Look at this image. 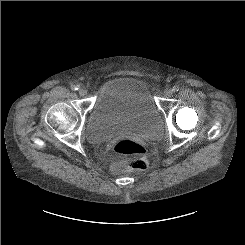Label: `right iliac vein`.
I'll list each match as a JSON object with an SVG mask.
<instances>
[{
  "label": "right iliac vein",
  "instance_id": "1",
  "mask_svg": "<svg viewBox=\"0 0 245 245\" xmlns=\"http://www.w3.org/2000/svg\"><path fill=\"white\" fill-rule=\"evenodd\" d=\"M78 93L81 97H83L87 94V90H86V88H80Z\"/></svg>",
  "mask_w": 245,
  "mask_h": 245
}]
</instances>
